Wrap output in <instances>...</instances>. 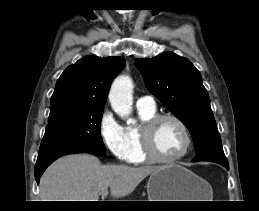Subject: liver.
<instances>
[{"instance_id":"liver-1","label":"liver","mask_w":259,"mask_h":211,"mask_svg":"<svg viewBox=\"0 0 259 211\" xmlns=\"http://www.w3.org/2000/svg\"><path fill=\"white\" fill-rule=\"evenodd\" d=\"M162 166L102 165L90 154L68 155L55 161L40 179L41 201H99L110 188L114 199L129 195Z\"/></svg>"}]
</instances>
